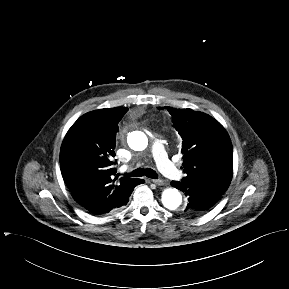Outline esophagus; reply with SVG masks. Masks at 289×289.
<instances>
[{"label":"esophagus","mask_w":289,"mask_h":289,"mask_svg":"<svg viewBox=\"0 0 289 289\" xmlns=\"http://www.w3.org/2000/svg\"><path fill=\"white\" fill-rule=\"evenodd\" d=\"M151 181L158 186L164 185V181L162 179H152Z\"/></svg>","instance_id":"esophagus-1"}]
</instances>
